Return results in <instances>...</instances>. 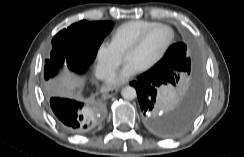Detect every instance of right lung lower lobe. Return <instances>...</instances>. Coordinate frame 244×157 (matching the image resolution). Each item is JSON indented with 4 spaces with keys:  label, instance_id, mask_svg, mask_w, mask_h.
<instances>
[{
    "label": "right lung lower lobe",
    "instance_id": "right-lung-lower-lobe-1",
    "mask_svg": "<svg viewBox=\"0 0 244 157\" xmlns=\"http://www.w3.org/2000/svg\"><path fill=\"white\" fill-rule=\"evenodd\" d=\"M50 106L60 125L74 134L92 130L102 115V108L101 113L96 114L87 109L88 104L85 106L83 103L58 97L50 98Z\"/></svg>",
    "mask_w": 244,
    "mask_h": 157
}]
</instances>
